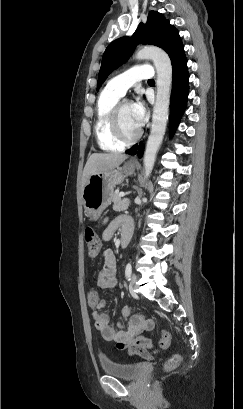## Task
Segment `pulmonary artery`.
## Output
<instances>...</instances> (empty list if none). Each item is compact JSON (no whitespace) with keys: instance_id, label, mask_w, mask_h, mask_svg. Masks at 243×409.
Returning a JSON list of instances; mask_svg holds the SVG:
<instances>
[{"instance_id":"1","label":"pulmonary artery","mask_w":243,"mask_h":409,"mask_svg":"<svg viewBox=\"0 0 243 409\" xmlns=\"http://www.w3.org/2000/svg\"><path fill=\"white\" fill-rule=\"evenodd\" d=\"M153 76V71L148 67L144 65L135 66L110 79L107 83V87L122 97L126 94L127 90L138 81L150 79Z\"/></svg>"}]
</instances>
